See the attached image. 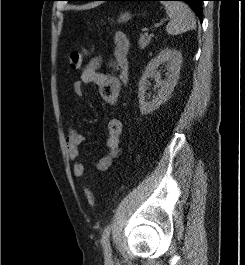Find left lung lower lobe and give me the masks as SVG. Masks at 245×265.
<instances>
[{
  "mask_svg": "<svg viewBox=\"0 0 245 265\" xmlns=\"http://www.w3.org/2000/svg\"><path fill=\"white\" fill-rule=\"evenodd\" d=\"M82 1H100V0H82ZM105 1H161V0H105ZM188 3L202 20V1L204 0H179Z\"/></svg>",
  "mask_w": 245,
  "mask_h": 265,
  "instance_id": "left-lung-lower-lobe-1",
  "label": "left lung lower lobe"
}]
</instances>
